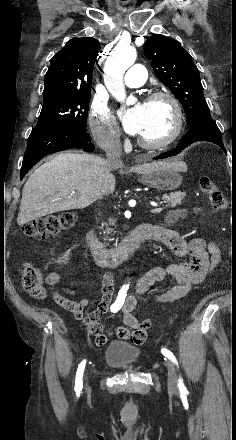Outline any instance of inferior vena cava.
<instances>
[{"instance_id":"602c4592","label":"inferior vena cava","mask_w":236,"mask_h":440,"mask_svg":"<svg viewBox=\"0 0 236 440\" xmlns=\"http://www.w3.org/2000/svg\"><path fill=\"white\" fill-rule=\"evenodd\" d=\"M105 151L107 156V162L111 167L122 165V162L120 160L122 153V145L118 138L115 137L111 138L109 140V145Z\"/></svg>"}]
</instances>
